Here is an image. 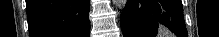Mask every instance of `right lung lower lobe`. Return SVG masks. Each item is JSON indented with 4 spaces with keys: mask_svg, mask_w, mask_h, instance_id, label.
<instances>
[{
    "mask_svg": "<svg viewBox=\"0 0 219 37\" xmlns=\"http://www.w3.org/2000/svg\"><path fill=\"white\" fill-rule=\"evenodd\" d=\"M30 37H89L90 0H26Z\"/></svg>",
    "mask_w": 219,
    "mask_h": 37,
    "instance_id": "right-lung-lower-lobe-1",
    "label": "right lung lower lobe"
}]
</instances>
